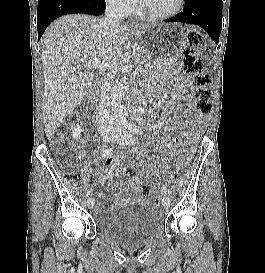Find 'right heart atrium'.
I'll return each mask as SVG.
<instances>
[{
	"instance_id": "obj_1",
	"label": "right heart atrium",
	"mask_w": 265,
	"mask_h": 273,
	"mask_svg": "<svg viewBox=\"0 0 265 273\" xmlns=\"http://www.w3.org/2000/svg\"><path fill=\"white\" fill-rule=\"evenodd\" d=\"M106 2L109 6L122 13H129L137 5V0H106Z\"/></svg>"
}]
</instances>
